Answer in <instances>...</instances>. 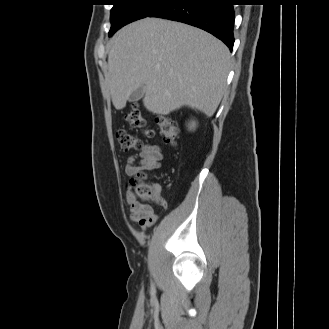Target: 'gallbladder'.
Here are the masks:
<instances>
[{
  "label": "gallbladder",
  "mask_w": 329,
  "mask_h": 329,
  "mask_svg": "<svg viewBox=\"0 0 329 329\" xmlns=\"http://www.w3.org/2000/svg\"><path fill=\"white\" fill-rule=\"evenodd\" d=\"M144 93H145L144 87L140 86L139 88H137L135 91L131 93V95L129 96V101L130 102L139 101L143 97Z\"/></svg>",
  "instance_id": "gallbladder-1"
}]
</instances>
